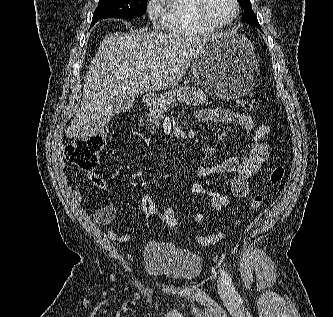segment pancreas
I'll list each match as a JSON object with an SVG mask.
<instances>
[{
	"label": "pancreas",
	"instance_id": "obj_1",
	"mask_svg": "<svg viewBox=\"0 0 333 317\" xmlns=\"http://www.w3.org/2000/svg\"><path fill=\"white\" fill-rule=\"evenodd\" d=\"M206 101V95L201 89H196L190 86H180L172 88L162 94L157 102L151 108L149 118L152 123V133L159 126V120L164 117V114L178 103H186L188 105H201Z\"/></svg>",
	"mask_w": 333,
	"mask_h": 317
}]
</instances>
